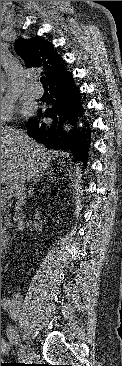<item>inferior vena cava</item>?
<instances>
[{
  "mask_svg": "<svg viewBox=\"0 0 122 366\" xmlns=\"http://www.w3.org/2000/svg\"><path fill=\"white\" fill-rule=\"evenodd\" d=\"M26 178H22L16 186L15 197L17 199L15 204V216L14 220L17 221L18 226L22 225V206L26 202Z\"/></svg>",
  "mask_w": 122,
  "mask_h": 366,
  "instance_id": "inferior-vena-cava-1",
  "label": "inferior vena cava"
}]
</instances>
